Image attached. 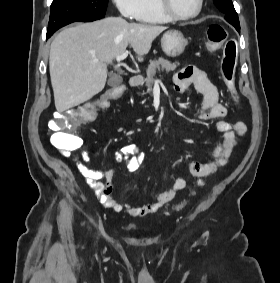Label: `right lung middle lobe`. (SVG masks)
<instances>
[{"label": "right lung middle lobe", "instance_id": "1", "mask_svg": "<svg viewBox=\"0 0 280 283\" xmlns=\"http://www.w3.org/2000/svg\"><path fill=\"white\" fill-rule=\"evenodd\" d=\"M108 0H53L48 28L72 22H90L105 16Z\"/></svg>", "mask_w": 280, "mask_h": 283}]
</instances>
